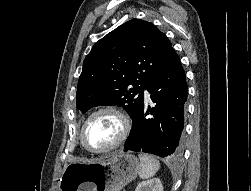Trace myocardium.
Wrapping results in <instances>:
<instances>
[{"label": "myocardium", "mask_w": 251, "mask_h": 191, "mask_svg": "<svg viewBox=\"0 0 251 191\" xmlns=\"http://www.w3.org/2000/svg\"><path fill=\"white\" fill-rule=\"evenodd\" d=\"M104 112L112 113L119 120L120 126H121L120 135H119L118 139L111 146L106 148L105 150H102L99 152L91 151L88 148H86V146L83 143V138H82L83 131H84L86 124L93 116L100 114V113H104ZM129 130H130V122H129L128 118L120 110H118L117 108H115L113 106H101V107L93 110L91 113H89V115L84 119V121L80 127V130L78 132V138H77L78 146L83 152H85L89 155L101 156V155L107 154L110 151L118 148L126 140L128 133H129Z\"/></svg>", "instance_id": "1"}]
</instances>
